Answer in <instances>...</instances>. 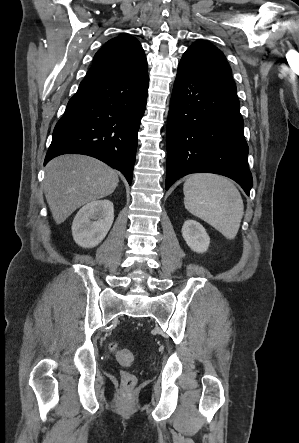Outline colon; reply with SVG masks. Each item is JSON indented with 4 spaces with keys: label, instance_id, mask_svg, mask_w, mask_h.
I'll return each instance as SVG.
<instances>
[{
    "label": "colon",
    "instance_id": "obj_1",
    "mask_svg": "<svg viewBox=\"0 0 299 443\" xmlns=\"http://www.w3.org/2000/svg\"><path fill=\"white\" fill-rule=\"evenodd\" d=\"M110 351L113 353L117 362L122 366H128L133 361V354L128 349H121L116 343L112 342L109 345ZM136 377L130 372H123L121 375V385L123 389L129 391L136 385Z\"/></svg>",
    "mask_w": 299,
    "mask_h": 443
}]
</instances>
